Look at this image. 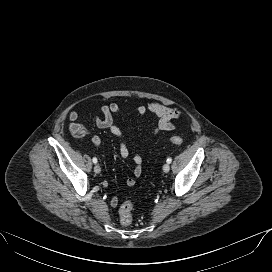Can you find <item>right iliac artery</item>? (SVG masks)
<instances>
[{
    "label": "right iliac artery",
    "mask_w": 272,
    "mask_h": 272,
    "mask_svg": "<svg viewBox=\"0 0 272 272\" xmlns=\"http://www.w3.org/2000/svg\"><path fill=\"white\" fill-rule=\"evenodd\" d=\"M92 161H93V163H97V158L94 157V158L92 159Z\"/></svg>",
    "instance_id": "82829eb1"
}]
</instances>
